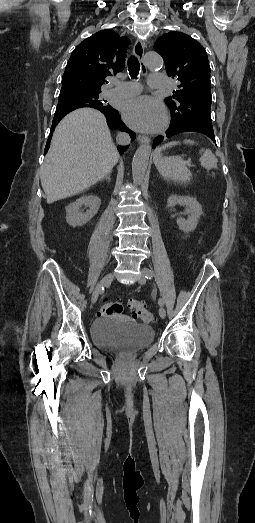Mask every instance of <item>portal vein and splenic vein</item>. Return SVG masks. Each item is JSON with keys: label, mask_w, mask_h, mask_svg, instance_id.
<instances>
[{"label": "portal vein and splenic vein", "mask_w": 255, "mask_h": 523, "mask_svg": "<svg viewBox=\"0 0 255 523\" xmlns=\"http://www.w3.org/2000/svg\"><path fill=\"white\" fill-rule=\"evenodd\" d=\"M191 165H193V162H191V161H186V166H191Z\"/></svg>", "instance_id": "obj_1"}]
</instances>
